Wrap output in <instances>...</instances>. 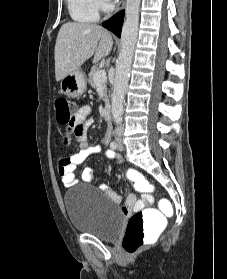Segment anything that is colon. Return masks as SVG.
<instances>
[{"label":"colon","mask_w":227,"mask_h":279,"mask_svg":"<svg viewBox=\"0 0 227 279\" xmlns=\"http://www.w3.org/2000/svg\"><path fill=\"white\" fill-rule=\"evenodd\" d=\"M55 108L57 122L68 131L75 123V104L71 100L61 97L55 101ZM75 130L80 131L81 125H78ZM67 131L62 136L61 143L63 145H67L69 142ZM130 179L143 195H149L154 189L153 184L137 171L130 173ZM165 223L166 215L159 210L145 208L135 212L128 222L124 235L122 243L124 250L128 253L138 252L144 241L159 233L164 228Z\"/></svg>","instance_id":"1"}]
</instances>
